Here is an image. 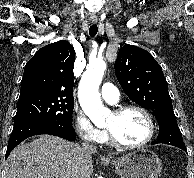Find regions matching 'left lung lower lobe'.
I'll list each match as a JSON object with an SVG mask.
<instances>
[{
  "label": "left lung lower lobe",
  "mask_w": 194,
  "mask_h": 178,
  "mask_svg": "<svg viewBox=\"0 0 194 178\" xmlns=\"http://www.w3.org/2000/svg\"><path fill=\"white\" fill-rule=\"evenodd\" d=\"M158 143L173 145L187 152L176 120H169L160 124L157 140L151 144Z\"/></svg>",
  "instance_id": "1"
}]
</instances>
